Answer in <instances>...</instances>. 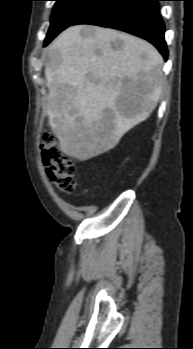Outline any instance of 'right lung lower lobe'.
<instances>
[{"label": "right lung lower lobe", "mask_w": 193, "mask_h": 349, "mask_svg": "<svg viewBox=\"0 0 193 349\" xmlns=\"http://www.w3.org/2000/svg\"><path fill=\"white\" fill-rule=\"evenodd\" d=\"M158 1L161 0H100L72 25L92 24L128 32L151 42L167 60L165 27Z\"/></svg>", "instance_id": "obj_1"}]
</instances>
